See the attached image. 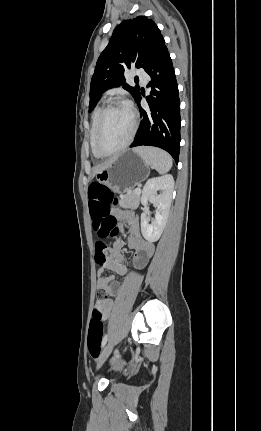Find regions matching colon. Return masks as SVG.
I'll list each match as a JSON object with an SVG mask.
<instances>
[{
    "mask_svg": "<svg viewBox=\"0 0 261 431\" xmlns=\"http://www.w3.org/2000/svg\"><path fill=\"white\" fill-rule=\"evenodd\" d=\"M89 211L93 220V228L97 236L101 239L114 237L118 233L116 219L112 215V207L114 195L111 190L100 182H92L88 188ZM114 256L112 248L104 242L96 243L95 260L98 265H103ZM109 298L104 291L99 290L96 295V307L93 311V316L89 327L88 348L93 357H96L99 352V346L102 340L104 331V321L101 314V304ZM122 353L116 350L113 356H110V361L117 360L119 366L126 364V359L121 357Z\"/></svg>",
    "mask_w": 261,
    "mask_h": 431,
    "instance_id": "obj_1",
    "label": "colon"
}]
</instances>
